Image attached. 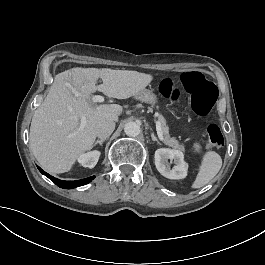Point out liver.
Segmentation results:
<instances>
[{
    "label": "liver",
    "instance_id": "obj_1",
    "mask_svg": "<svg viewBox=\"0 0 265 265\" xmlns=\"http://www.w3.org/2000/svg\"><path fill=\"white\" fill-rule=\"evenodd\" d=\"M99 77L103 84L96 87ZM153 79L152 74L95 67H73L56 74L32 117L30 148L34 157L50 173L71 171L79 156L92 150L97 125L104 120L118 121L124 111L117 104H97L96 89L109 98L126 100ZM81 120L86 124L76 133Z\"/></svg>",
    "mask_w": 265,
    "mask_h": 265
}]
</instances>
